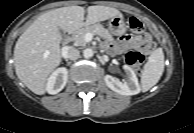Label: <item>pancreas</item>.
I'll use <instances>...</instances> for the list:
<instances>
[{
	"instance_id": "obj_1",
	"label": "pancreas",
	"mask_w": 194,
	"mask_h": 133,
	"mask_svg": "<svg viewBox=\"0 0 194 133\" xmlns=\"http://www.w3.org/2000/svg\"><path fill=\"white\" fill-rule=\"evenodd\" d=\"M87 33L100 36L108 41H113L112 35L107 29H105L103 26L99 24H94V25L86 26L85 28L78 30L77 33L73 37L74 44L76 46L86 45L87 42L85 40V35Z\"/></svg>"
}]
</instances>
